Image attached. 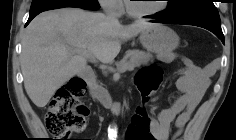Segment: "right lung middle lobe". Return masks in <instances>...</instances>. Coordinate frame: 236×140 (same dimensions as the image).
Instances as JSON below:
<instances>
[{
    "label": "right lung middle lobe",
    "mask_w": 236,
    "mask_h": 140,
    "mask_svg": "<svg viewBox=\"0 0 236 140\" xmlns=\"http://www.w3.org/2000/svg\"><path fill=\"white\" fill-rule=\"evenodd\" d=\"M62 7H79L89 10H98L100 5L97 0H33L30 13Z\"/></svg>",
    "instance_id": "dd1d6c3e"
}]
</instances>
